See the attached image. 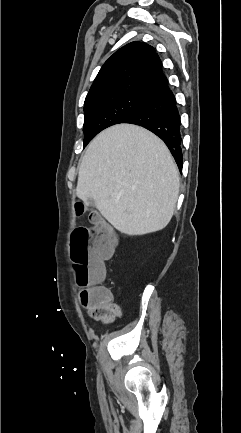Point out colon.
Returning a JSON list of instances; mask_svg holds the SVG:
<instances>
[{
	"instance_id": "1",
	"label": "colon",
	"mask_w": 241,
	"mask_h": 433,
	"mask_svg": "<svg viewBox=\"0 0 241 433\" xmlns=\"http://www.w3.org/2000/svg\"><path fill=\"white\" fill-rule=\"evenodd\" d=\"M73 205V215L77 220L89 214V207L83 206L82 200H77ZM91 220L95 225L93 239L88 228H78L73 233L71 246L73 270L77 272V283L83 289L80 297L87 306L95 305L109 296L108 291L101 286L106 276L103 263L115 246V238L103 219L99 215H92Z\"/></svg>"
}]
</instances>
